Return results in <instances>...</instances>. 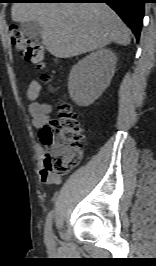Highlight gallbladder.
<instances>
[{"instance_id":"obj_1","label":"gallbladder","mask_w":156,"mask_h":266,"mask_svg":"<svg viewBox=\"0 0 156 266\" xmlns=\"http://www.w3.org/2000/svg\"><path fill=\"white\" fill-rule=\"evenodd\" d=\"M23 33L30 39L38 40L42 37L43 29L38 22L28 21L21 24Z\"/></svg>"}]
</instances>
